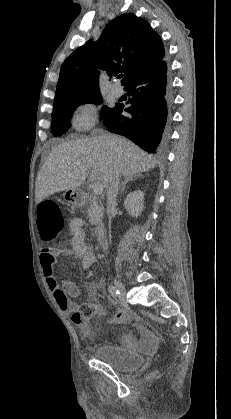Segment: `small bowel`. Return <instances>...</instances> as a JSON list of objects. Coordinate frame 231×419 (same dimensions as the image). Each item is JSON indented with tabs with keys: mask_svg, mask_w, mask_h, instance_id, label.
<instances>
[{
	"mask_svg": "<svg viewBox=\"0 0 231 419\" xmlns=\"http://www.w3.org/2000/svg\"><path fill=\"white\" fill-rule=\"evenodd\" d=\"M69 227L72 234L71 247L69 249L63 247L43 248L40 252V263L47 286L51 291L58 307L63 312L71 314L73 322L78 325L82 334L88 337L90 335V329L88 327L89 318L81 320L79 319V306L74 301V298L79 297L81 294L79 287L75 282L70 280H63L59 284L54 274V265L57 261V258L62 254L70 258L80 259V266L84 270L90 268L95 263L96 258L93 248L86 241L84 220L82 218L75 217L70 221ZM100 287V281L90 285L88 287L90 296L94 297ZM105 297L109 299L108 296ZM91 304H93L98 309L97 313L102 312V307L100 305L95 303ZM131 318H135L131 312L120 309L117 311L111 322L121 323L124 320ZM135 326L142 335V341L138 342L133 335L126 333L123 335V342L129 347L140 345L141 349L149 350L153 340L152 334L139 323H135Z\"/></svg>",
	"mask_w": 231,
	"mask_h": 419,
	"instance_id": "c3829d8e",
	"label": "small bowel"
}]
</instances>
